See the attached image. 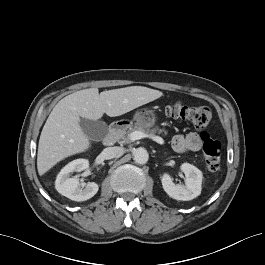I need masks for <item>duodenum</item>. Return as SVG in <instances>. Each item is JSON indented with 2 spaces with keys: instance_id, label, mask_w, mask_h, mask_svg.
<instances>
[{
  "instance_id": "410a0bca",
  "label": "duodenum",
  "mask_w": 265,
  "mask_h": 265,
  "mask_svg": "<svg viewBox=\"0 0 265 265\" xmlns=\"http://www.w3.org/2000/svg\"><path fill=\"white\" fill-rule=\"evenodd\" d=\"M124 125L125 123L123 122H116L111 125L109 133L104 139L105 146H112L117 142Z\"/></svg>"
}]
</instances>
